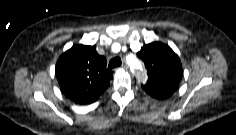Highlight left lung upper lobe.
<instances>
[{
    "mask_svg": "<svg viewBox=\"0 0 236 135\" xmlns=\"http://www.w3.org/2000/svg\"><path fill=\"white\" fill-rule=\"evenodd\" d=\"M145 63L149 79L142 88L154 98L169 97L178 88L183 76L177 54L166 44H145L137 53Z\"/></svg>",
    "mask_w": 236,
    "mask_h": 135,
    "instance_id": "5c2ea615",
    "label": "left lung upper lobe"
}]
</instances>
